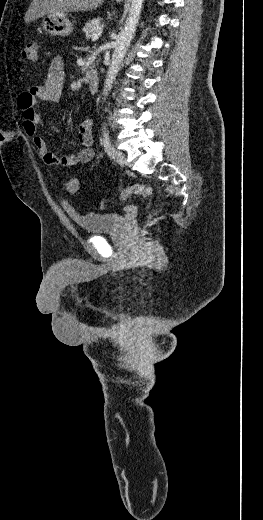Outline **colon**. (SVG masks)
<instances>
[{
	"instance_id": "5ec220e1",
	"label": "colon",
	"mask_w": 263,
	"mask_h": 520,
	"mask_svg": "<svg viewBox=\"0 0 263 520\" xmlns=\"http://www.w3.org/2000/svg\"><path fill=\"white\" fill-rule=\"evenodd\" d=\"M39 43L35 39H30L25 44L22 51L24 59L30 62H36L38 60ZM64 188L69 194H76L79 191V181L74 176H67L64 181ZM151 187L145 184H134L123 189L119 195V200H125L131 196H142L148 197L151 194ZM103 206L105 203L102 204ZM153 214L151 213L150 216Z\"/></svg>"
}]
</instances>
